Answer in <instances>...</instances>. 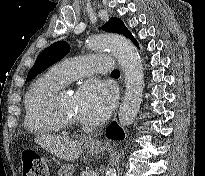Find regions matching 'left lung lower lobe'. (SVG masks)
<instances>
[{
  "label": "left lung lower lobe",
  "instance_id": "0a47b994",
  "mask_svg": "<svg viewBox=\"0 0 205 176\" xmlns=\"http://www.w3.org/2000/svg\"><path fill=\"white\" fill-rule=\"evenodd\" d=\"M129 38L137 47H138V43L135 40V38L133 37V35L130 33L129 36L127 37ZM106 135L113 140H122L124 139L125 135L124 132L122 130V128H120L116 122H113L106 130Z\"/></svg>",
  "mask_w": 205,
  "mask_h": 176
}]
</instances>
